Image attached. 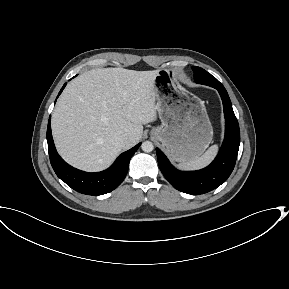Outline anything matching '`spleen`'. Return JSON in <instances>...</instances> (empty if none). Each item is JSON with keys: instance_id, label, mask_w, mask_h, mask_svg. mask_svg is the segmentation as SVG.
Returning <instances> with one entry per match:
<instances>
[{"instance_id": "1", "label": "spleen", "mask_w": 289, "mask_h": 289, "mask_svg": "<svg viewBox=\"0 0 289 289\" xmlns=\"http://www.w3.org/2000/svg\"><path fill=\"white\" fill-rule=\"evenodd\" d=\"M218 150L217 145L211 146L201 157H198L194 160L187 161V162H181L178 164V167L180 169L185 170H195L200 169L205 166H207L215 157Z\"/></svg>"}]
</instances>
